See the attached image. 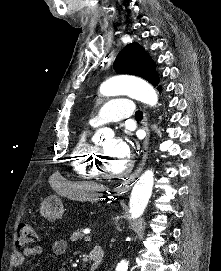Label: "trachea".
I'll list each match as a JSON object with an SVG mask.
<instances>
[{
	"mask_svg": "<svg viewBox=\"0 0 221 271\" xmlns=\"http://www.w3.org/2000/svg\"><path fill=\"white\" fill-rule=\"evenodd\" d=\"M135 117L137 118V120L141 121L142 118H143V113H142V111L137 110V111L135 112Z\"/></svg>",
	"mask_w": 221,
	"mask_h": 271,
	"instance_id": "trachea-1",
	"label": "trachea"
}]
</instances>
